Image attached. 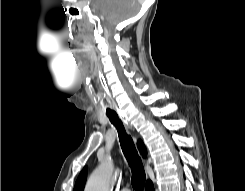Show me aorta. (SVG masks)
<instances>
[{
    "mask_svg": "<svg viewBox=\"0 0 245 191\" xmlns=\"http://www.w3.org/2000/svg\"><path fill=\"white\" fill-rule=\"evenodd\" d=\"M113 163L110 160L102 162L88 179L85 191H109Z\"/></svg>",
    "mask_w": 245,
    "mask_h": 191,
    "instance_id": "obj_1",
    "label": "aorta"
}]
</instances>
